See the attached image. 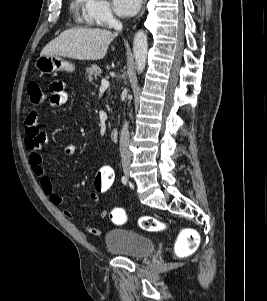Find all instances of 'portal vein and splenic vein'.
Returning a JSON list of instances; mask_svg holds the SVG:
<instances>
[{"label": "portal vein and splenic vein", "instance_id": "1", "mask_svg": "<svg viewBox=\"0 0 267 301\" xmlns=\"http://www.w3.org/2000/svg\"><path fill=\"white\" fill-rule=\"evenodd\" d=\"M108 86H109V81L106 79H102L100 89H106V88H108Z\"/></svg>", "mask_w": 267, "mask_h": 301}]
</instances>
